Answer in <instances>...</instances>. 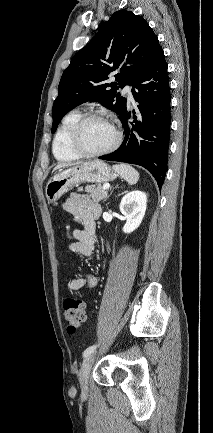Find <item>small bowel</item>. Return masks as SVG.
I'll return each mask as SVG.
<instances>
[{"label":"small bowel","mask_w":213,"mask_h":433,"mask_svg":"<svg viewBox=\"0 0 213 433\" xmlns=\"http://www.w3.org/2000/svg\"><path fill=\"white\" fill-rule=\"evenodd\" d=\"M63 208L70 214L73 221L84 227V230L69 231L67 224L68 237L71 241L68 250L91 258L97 243L95 221L101 213V207L87 196L73 193ZM97 282V277L93 271L88 270L81 277L71 279L68 283V289L77 291L84 286L94 288Z\"/></svg>","instance_id":"obj_1"}]
</instances>
